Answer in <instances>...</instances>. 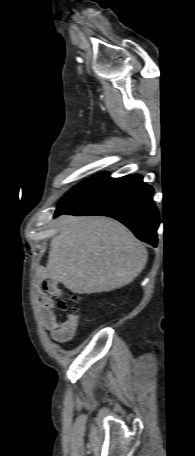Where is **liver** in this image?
<instances>
[{"label":"liver","instance_id":"obj_1","mask_svg":"<svg viewBox=\"0 0 195 456\" xmlns=\"http://www.w3.org/2000/svg\"><path fill=\"white\" fill-rule=\"evenodd\" d=\"M43 276L77 294L110 292L131 283L147 263L148 253L131 231L106 217L57 219Z\"/></svg>","mask_w":195,"mask_h":456}]
</instances>
